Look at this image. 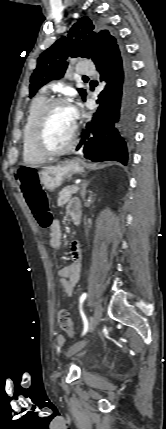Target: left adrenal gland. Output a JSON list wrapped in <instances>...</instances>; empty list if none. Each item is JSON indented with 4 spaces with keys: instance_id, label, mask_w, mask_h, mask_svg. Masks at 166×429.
I'll return each instance as SVG.
<instances>
[{
    "instance_id": "left-adrenal-gland-1",
    "label": "left adrenal gland",
    "mask_w": 166,
    "mask_h": 429,
    "mask_svg": "<svg viewBox=\"0 0 166 429\" xmlns=\"http://www.w3.org/2000/svg\"><path fill=\"white\" fill-rule=\"evenodd\" d=\"M89 184V181L83 180V182L81 183V197L83 200H85V195H86V188Z\"/></svg>"
}]
</instances>
